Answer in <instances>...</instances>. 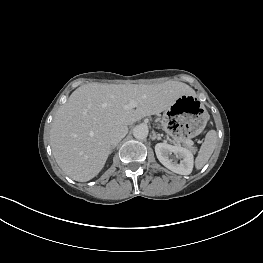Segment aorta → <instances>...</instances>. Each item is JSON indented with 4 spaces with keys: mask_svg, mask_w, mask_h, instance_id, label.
Segmentation results:
<instances>
[{
    "mask_svg": "<svg viewBox=\"0 0 263 263\" xmlns=\"http://www.w3.org/2000/svg\"><path fill=\"white\" fill-rule=\"evenodd\" d=\"M133 136L138 140H143L148 136V127L140 124L134 127Z\"/></svg>",
    "mask_w": 263,
    "mask_h": 263,
    "instance_id": "762f6f07",
    "label": "aorta"
}]
</instances>
